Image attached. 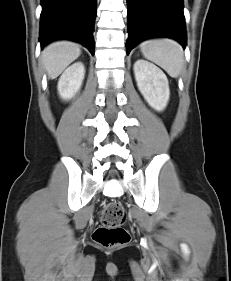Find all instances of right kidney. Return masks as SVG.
<instances>
[{
	"label": "right kidney",
	"instance_id": "right-kidney-1",
	"mask_svg": "<svg viewBox=\"0 0 231 281\" xmlns=\"http://www.w3.org/2000/svg\"><path fill=\"white\" fill-rule=\"evenodd\" d=\"M85 75L84 65L81 62L74 63L68 67L58 81V93L64 100H70L81 88Z\"/></svg>",
	"mask_w": 231,
	"mask_h": 281
}]
</instances>
